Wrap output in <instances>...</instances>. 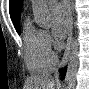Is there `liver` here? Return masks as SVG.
<instances>
[{
  "label": "liver",
  "mask_w": 89,
  "mask_h": 89,
  "mask_svg": "<svg viewBox=\"0 0 89 89\" xmlns=\"http://www.w3.org/2000/svg\"><path fill=\"white\" fill-rule=\"evenodd\" d=\"M54 87L53 80L41 76L30 77L24 84V89H54Z\"/></svg>",
  "instance_id": "6515ba94"
}]
</instances>
